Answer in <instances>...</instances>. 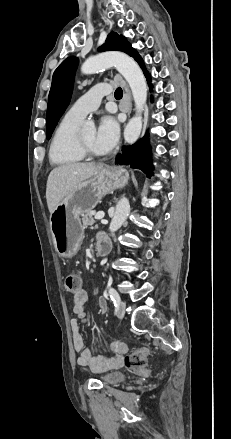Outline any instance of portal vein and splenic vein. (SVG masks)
<instances>
[{
    "label": "portal vein and splenic vein",
    "instance_id": "18ae733b",
    "mask_svg": "<svg viewBox=\"0 0 231 439\" xmlns=\"http://www.w3.org/2000/svg\"><path fill=\"white\" fill-rule=\"evenodd\" d=\"M104 212H98L97 214H95V219L100 220L104 218Z\"/></svg>",
    "mask_w": 231,
    "mask_h": 439
}]
</instances>
